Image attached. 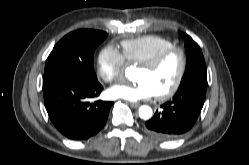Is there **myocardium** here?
Returning <instances> with one entry per match:
<instances>
[{"label":"myocardium","mask_w":249,"mask_h":165,"mask_svg":"<svg viewBox=\"0 0 249 165\" xmlns=\"http://www.w3.org/2000/svg\"><path fill=\"white\" fill-rule=\"evenodd\" d=\"M172 54H178L180 58V66L176 78L173 84L165 91L155 94L159 100H165L172 97L179 89L182 80L184 78L186 67H187V56L183 48L179 46H171L163 51H161L158 55H156L150 61H147L143 64H139V67L144 68L148 71L157 70L165 60L171 56Z\"/></svg>","instance_id":"myocardium-1"}]
</instances>
